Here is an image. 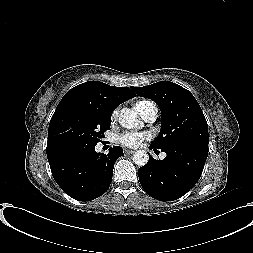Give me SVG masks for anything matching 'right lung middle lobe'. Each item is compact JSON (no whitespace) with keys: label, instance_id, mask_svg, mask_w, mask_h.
I'll list each match as a JSON object with an SVG mask.
<instances>
[{"label":"right lung middle lobe","instance_id":"dd1d6c3e","mask_svg":"<svg viewBox=\"0 0 253 253\" xmlns=\"http://www.w3.org/2000/svg\"><path fill=\"white\" fill-rule=\"evenodd\" d=\"M112 112L69 101L58 104L48 129L47 148L67 143L97 144L110 128Z\"/></svg>","mask_w":253,"mask_h":253}]
</instances>
